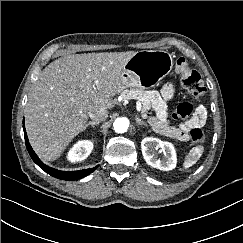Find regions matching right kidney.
Listing matches in <instances>:
<instances>
[{
	"label": "right kidney",
	"mask_w": 243,
	"mask_h": 243,
	"mask_svg": "<svg viewBox=\"0 0 243 243\" xmlns=\"http://www.w3.org/2000/svg\"><path fill=\"white\" fill-rule=\"evenodd\" d=\"M93 149V143L89 140L77 142L68 152L67 158L71 162H78L86 159Z\"/></svg>",
	"instance_id": "right-kidney-1"
}]
</instances>
